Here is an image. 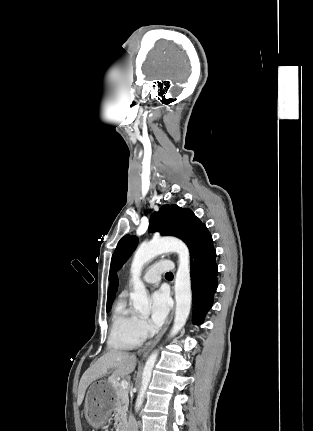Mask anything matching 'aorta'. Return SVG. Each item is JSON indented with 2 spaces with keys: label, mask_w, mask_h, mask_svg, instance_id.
I'll use <instances>...</instances> for the list:
<instances>
[{
  "label": "aorta",
  "mask_w": 313,
  "mask_h": 431,
  "mask_svg": "<svg viewBox=\"0 0 313 431\" xmlns=\"http://www.w3.org/2000/svg\"><path fill=\"white\" fill-rule=\"evenodd\" d=\"M176 252L178 254V270L175 277V299L176 311L173 327L169 337L175 336L185 325L192 301L191 278H190V253L184 242L173 237L153 239L147 244H142L136 250L131 264V282L134 292L131 294L134 309L146 313L149 311V299L146 288L140 279L143 266L154 257L166 253ZM158 351H154L147 359L141 381V388L135 403V410L138 411L144 400L147 387L150 383L152 370L157 361Z\"/></svg>",
  "instance_id": "obj_1"
}]
</instances>
